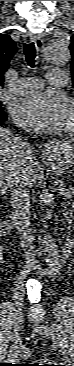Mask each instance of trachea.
<instances>
[{
    "instance_id": "obj_1",
    "label": "trachea",
    "mask_w": 74,
    "mask_h": 366,
    "mask_svg": "<svg viewBox=\"0 0 74 366\" xmlns=\"http://www.w3.org/2000/svg\"><path fill=\"white\" fill-rule=\"evenodd\" d=\"M23 49L27 64L30 67H34L36 58V49L34 43H25Z\"/></svg>"
}]
</instances>
